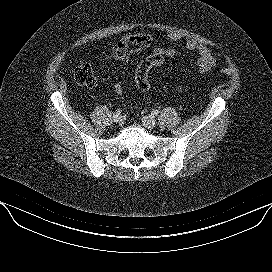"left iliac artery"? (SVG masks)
Masks as SVG:
<instances>
[{
	"label": "left iliac artery",
	"mask_w": 272,
	"mask_h": 272,
	"mask_svg": "<svg viewBox=\"0 0 272 272\" xmlns=\"http://www.w3.org/2000/svg\"><path fill=\"white\" fill-rule=\"evenodd\" d=\"M152 114H153V115H158V114H159V111H158V110H153V111H152Z\"/></svg>",
	"instance_id": "1"
}]
</instances>
